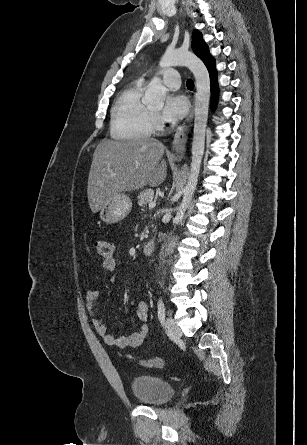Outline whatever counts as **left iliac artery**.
I'll return each mask as SVG.
<instances>
[{"instance_id":"1","label":"left iliac artery","mask_w":307,"mask_h":445,"mask_svg":"<svg viewBox=\"0 0 307 445\" xmlns=\"http://www.w3.org/2000/svg\"><path fill=\"white\" fill-rule=\"evenodd\" d=\"M157 308H158L157 309L158 319L161 323H163L165 320L166 311H165V306H164L163 300L161 298L158 301Z\"/></svg>"}]
</instances>
